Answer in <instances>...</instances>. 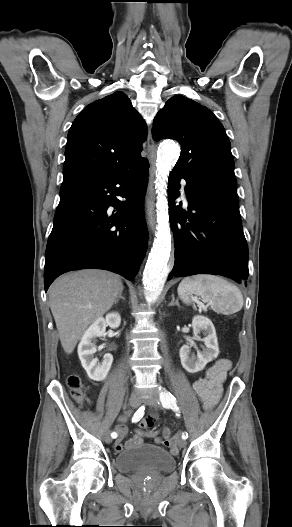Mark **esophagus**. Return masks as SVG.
I'll return each instance as SVG.
<instances>
[{
    "label": "esophagus",
    "instance_id": "1",
    "mask_svg": "<svg viewBox=\"0 0 292 527\" xmlns=\"http://www.w3.org/2000/svg\"><path fill=\"white\" fill-rule=\"evenodd\" d=\"M147 147H148V157L151 164L152 171H155V155H154V140L152 138V135L149 134L147 139Z\"/></svg>",
    "mask_w": 292,
    "mask_h": 527
}]
</instances>
